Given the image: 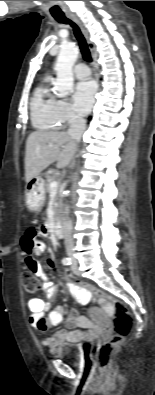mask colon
<instances>
[{
    "label": "colon",
    "mask_w": 155,
    "mask_h": 395,
    "mask_svg": "<svg viewBox=\"0 0 155 395\" xmlns=\"http://www.w3.org/2000/svg\"><path fill=\"white\" fill-rule=\"evenodd\" d=\"M47 260L51 261V266L55 265V262L52 261V256H48ZM24 266L25 270L21 274V281L26 293L33 296L39 292L42 285L33 272V262L30 255L25 258ZM63 277L67 278L68 274L64 273ZM68 284H75L79 285L80 288H86L87 292H91V294H95V296L106 299L111 306V312L114 313V334L110 339L101 342L96 349V360L98 365L100 367H106L109 365L113 354L119 348L124 338L130 334L133 327V317L121 301L105 295L104 289H100V287H96V285H90L89 281H84L83 278H68L65 280V286Z\"/></svg>",
    "instance_id": "1"
}]
</instances>
